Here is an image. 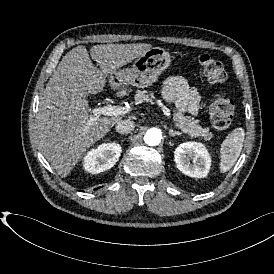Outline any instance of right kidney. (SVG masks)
<instances>
[{
    "mask_svg": "<svg viewBox=\"0 0 274 274\" xmlns=\"http://www.w3.org/2000/svg\"><path fill=\"white\" fill-rule=\"evenodd\" d=\"M122 148L118 143H103L91 149L83 158V168L91 174H98L112 168L119 160Z\"/></svg>",
    "mask_w": 274,
    "mask_h": 274,
    "instance_id": "obj_1",
    "label": "right kidney"
}]
</instances>
